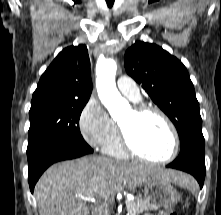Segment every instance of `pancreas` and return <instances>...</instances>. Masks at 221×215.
I'll use <instances>...</instances> for the list:
<instances>
[{
  "label": "pancreas",
  "mask_w": 221,
  "mask_h": 215,
  "mask_svg": "<svg viewBox=\"0 0 221 215\" xmlns=\"http://www.w3.org/2000/svg\"><path fill=\"white\" fill-rule=\"evenodd\" d=\"M125 203L128 215H139L140 213L146 210L156 209L154 205L141 198H136L134 200H126Z\"/></svg>",
  "instance_id": "pancreas-1"
}]
</instances>
